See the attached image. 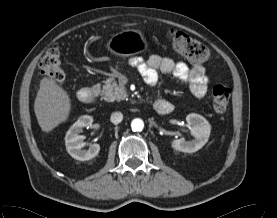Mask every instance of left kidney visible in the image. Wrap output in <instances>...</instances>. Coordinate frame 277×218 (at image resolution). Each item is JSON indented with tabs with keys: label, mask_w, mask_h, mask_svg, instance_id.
I'll list each match as a JSON object with an SVG mask.
<instances>
[{
	"label": "left kidney",
	"mask_w": 277,
	"mask_h": 218,
	"mask_svg": "<svg viewBox=\"0 0 277 218\" xmlns=\"http://www.w3.org/2000/svg\"><path fill=\"white\" fill-rule=\"evenodd\" d=\"M186 121L192 127L191 135L194 139L191 141H186L184 138L173 140L171 145L175 150L193 153L207 143L211 133V126L203 116L196 113L188 114Z\"/></svg>",
	"instance_id": "left-kidney-1"
}]
</instances>
